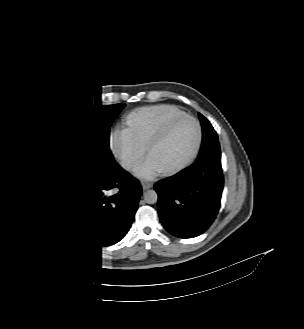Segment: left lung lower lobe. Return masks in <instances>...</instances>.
I'll return each instance as SVG.
<instances>
[{"mask_svg":"<svg viewBox=\"0 0 304 329\" xmlns=\"http://www.w3.org/2000/svg\"><path fill=\"white\" fill-rule=\"evenodd\" d=\"M220 159V146L215 142L182 175L155 184L160 220L172 235L193 238L213 223L224 182Z\"/></svg>","mask_w":304,"mask_h":329,"instance_id":"left-lung-lower-lobe-1","label":"left lung lower lobe"}]
</instances>
